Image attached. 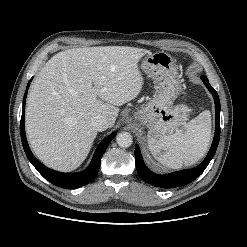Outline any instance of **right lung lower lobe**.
I'll return each instance as SVG.
<instances>
[{"label": "right lung lower lobe", "mask_w": 247, "mask_h": 247, "mask_svg": "<svg viewBox=\"0 0 247 247\" xmlns=\"http://www.w3.org/2000/svg\"><path fill=\"white\" fill-rule=\"evenodd\" d=\"M31 80L27 85L25 95L23 98V109H22V117L20 122L21 140L27 158L44 178H46L49 182H51L56 186L66 189H74L90 183L96 177L99 171L101 158L105 150L107 149L109 143L115 137L116 132H113L112 134H110L108 137H106L100 142L94 153L93 159L89 167L85 171L80 173H62L47 168L34 157V155L32 154L29 148L25 135V129H24L25 103H26V96Z\"/></svg>", "instance_id": "1"}]
</instances>
